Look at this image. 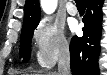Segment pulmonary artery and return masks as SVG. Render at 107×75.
Listing matches in <instances>:
<instances>
[{
	"instance_id": "e3ab8cb5",
	"label": "pulmonary artery",
	"mask_w": 107,
	"mask_h": 75,
	"mask_svg": "<svg viewBox=\"0 0 107 75\" xmlns=\"http://www.w3.org/2000/svg\"><path fill=\"white\" fill-rule=\"evenodd\" d=\"M67 11L70 15H76L78 13L77 7L72 2L67 3Z\"/></svg>"
}]
</instances>
